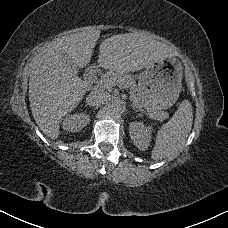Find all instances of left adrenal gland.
<instances>
[{
  "label": "left adrenal gland",
  "mask_w": 228,
  "mask_h": 228,
  "mask_svg": "<svg viewBox=\"0 0 228 228\" xmlns=\"http://www.w3.org/2000/svg\"><path fill=\"white\" fill-rule=\"evenodd\" d=\"M129 108H130L131 110H133V111H138V109H136V107L133 106V105H130Z\"/></svg>",
  "instance_id": "obj_1"
}]
</instances>
